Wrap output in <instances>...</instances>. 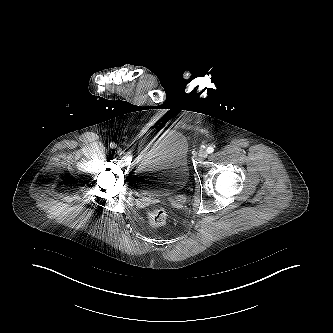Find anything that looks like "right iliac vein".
Segmentation results:
<instances>
[{"label": "right iliac vein", "instance_id": "right-iliac-vein-1", "mask_svg": "<svg viewBox=\"0 0 333 333\" xmlns=\"http://www.w3.org/2000/svg\"><path fill=\"white\" fill-rule=\"evenodd\" d=\"M121 151H122L121 147H119V146H118V147H116V149H115V152H116V153H118V154H119V153H121Z\"/></svg>", "mask_w": 333, "mask_h": 333}]
</instances>
